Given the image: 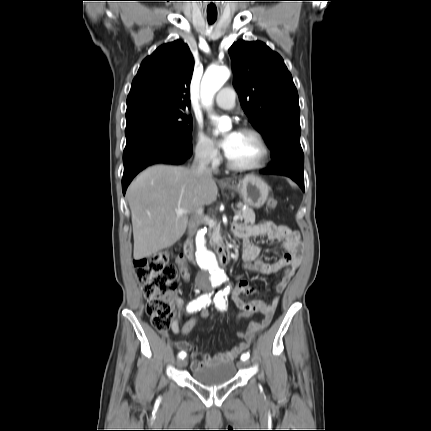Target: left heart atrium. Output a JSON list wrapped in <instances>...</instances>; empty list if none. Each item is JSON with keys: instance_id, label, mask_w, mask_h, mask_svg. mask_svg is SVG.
Here are the masks:
<instances>
[{"instance_id": "39dd6f15", "label": "left heart atrium", "mask_w": 431, "mask_h": 431, "mask_svg": "<svg viewBox=\"0 0 431 431\" xmlns=\"http://www.w3.org/2000/svg\"><path fill=\"white\" fill-rule=\"evenodd\" d=\"M236 135L237 132H231L225 138L219 141L220 147L224 150L226 154L230 151Z\"/></svg>"}]
</instances>
